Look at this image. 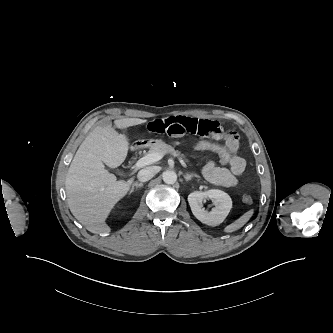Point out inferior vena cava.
<instances>
[{"label":"inferior vena cava","instance_id":"inferior-vena-cava-1","mask_svg":"<svg viewBox=\"0 0 333 333\" xmlns=\"http://www.w3.org/2000/svg\"><path fill=\"white\" fill-rule=\"evenodd\" d=\"M157 169L155 167H146L138 172L137 178L140 182L149 181L155 176Z\"/></svg>","mask_w":333,"mask_h":333}]
</instances>
